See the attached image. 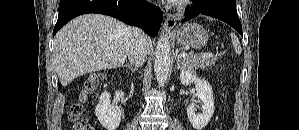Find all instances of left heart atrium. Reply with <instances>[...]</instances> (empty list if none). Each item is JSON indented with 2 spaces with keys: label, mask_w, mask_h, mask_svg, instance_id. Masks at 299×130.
I'll return each instance as SVG.
<instances>
[{
  "label": "left heart atrium",
  "mask_w": 299,
  "mask_h": 130,
  "mask_svg": "<svg viewBox=\"0 0 299 130\" xmlns=\"http://www.w3.org/2000/svg\"><path fill=\"white\" fill-rule=\"evenodd\" d=\"M170 2L176 3V2H179V1L178 0H171Z\"/></svg>",
  "instance_id": "left-heart-atrium-1"
}]
</instances>
